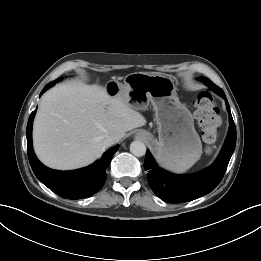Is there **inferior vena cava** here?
Wrapping results in <instances>:
<instances>
[{"label":"inferior vena cava","mask_w":261,"mask_h":261,"mask_svg":"<svg viewBox=\"0 0 261 261\" xmlns=\"http://www.w3.org/2000/svg\"><path fill=\"white\" fill-rule=\"evenodd\" d=\"M116 138L114 136H107L104 141L103 144L105 147H109L111 145H113L114 143H116Z\"/></svg>","instance_id":"602c4592"}]
</instances>
